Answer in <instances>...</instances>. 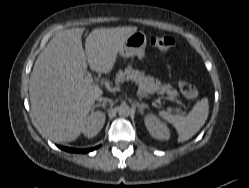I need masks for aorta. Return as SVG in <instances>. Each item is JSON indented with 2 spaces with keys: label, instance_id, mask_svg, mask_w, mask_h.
Instances as JSON below:
<instances>
[{
  "label": "aorta",
  "instance_id": "1",
  "mask_svg": "<svg viewBox=\"0 0 249 188\" xmlns=\"http://www.w3.org/2000/svg\"><path fill=\"white\" fill-rule=\"evenodd\" d=\"M118 114L121 117H128L130 114V108L127 104H121L118 107Z\"/></svg>",
  "mask_w": 249,
  "mask_h": 188
}]
</instances>
